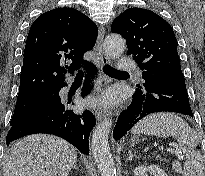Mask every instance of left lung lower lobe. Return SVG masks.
<instances>
[{"label":"left lung lower lobe","instance_id":"1","mask_svg":"<svg viewBox=\"0 0 205 176\" xmlns=\"http://www.w3.org/2000/svg\"><path fill=\"white\" fill-rule=\"evenodd\" d=\"M133 95L131 104L119 116L113 137L119 140L138 121L155 112H176L193 116L182 71L161 72L146 79Z\"/></svg>","mask_w":205,"mask_h":176}]
</instances>
